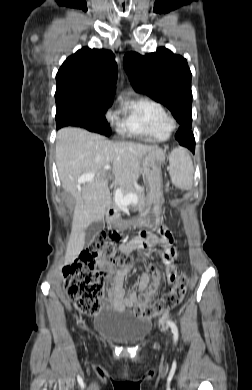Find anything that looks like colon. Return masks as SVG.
<instances>
[{"mask_svg":"<svg viewBox=\"0 0 252 390\" xmlns=\"http://www.w3.org/2000/svg\"><path fill=\"white\" fill-rule=\"evenodd\" d=\"M119 234L115 231L99 234L91 243L88 250L64 270L66 286L70 299L76 308L88 316L96 315L101 307L104 294V275L97 270L100 260L106 261L117 269H127L133 264L132 255L117 246ZM149 237H144V246L149 245ZM166 260L170 257L167 255ZM175 279L176 270H153V279L148 289L138 297V304L134 312L138 317L147 318L161 314L178 305L184 298L188 288V279L181 274L173 287L159 300L149 304L150 297L156 293L161 282L166 279Z\"/></svg>","mask_w":252,"mask_h":390,"instance_id":"colon-1","label":"colon"}]
</instances>
